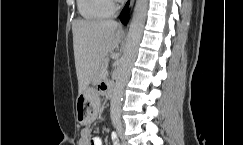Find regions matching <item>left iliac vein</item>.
<instances>
[{
    "instance_id": "obj_1",
    "label": "left iliac vein",
    "mask_w": 243,
    "mask_h": 145,
    "mask_svg": "<svg viewBox=\"0 0 243 145\" xmlns=\"http://www.w3.org/2000/svg\"><path fill=\"white\" fill-rule=\"evenodd\" d=\"M122 145H129V143L126 140H123Z\"/></svg>"
}]
</instances>
